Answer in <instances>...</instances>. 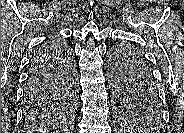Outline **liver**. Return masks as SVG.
Masks as SVG:
<instances>
[{"instance_id":"1","label":"liver","mask_w":184,"mask_h":133,"mask_svg":"<svg viewBox=\"0 0 184 133\" xmlns=\"http://www.w3.org/2000/svg\"><path fill=\"white\" fill-rule=\"evenodd\" d=\"M63 130H65L64 128H63ZM36 131H42L41 129H39V130H36Z\"/></svg>"}]
</instances>
